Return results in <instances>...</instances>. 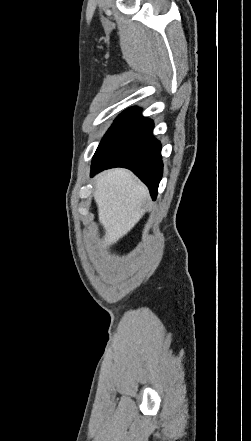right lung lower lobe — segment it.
<instances>
[{
  "label": "right lung lower lobe",
  "instance_id": "right-lung-lower-lobe-1",
  "mask_svg": "<svg viewBox=\"0 0 251 441\" xmlns=\"http://www.w3.org/2000/svg\"><path fill=\"white\" fill-rule=\"evenodd\" d=\"M153 122L141 109L129 108L115 120L99 144L92 160L91 176L114 167L133 171L156 199L162 178L161 144L152 135Z\"/></svg>",
  "mask_w": 251,
  "mask_h": 441
}]
</instances>
